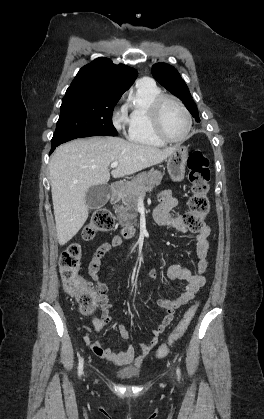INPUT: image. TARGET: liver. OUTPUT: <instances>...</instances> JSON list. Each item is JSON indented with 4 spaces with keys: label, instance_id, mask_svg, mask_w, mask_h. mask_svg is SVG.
Listing matches in <instances>:
<instances>
[{
    "label": "liver",
    "instance_id": "6515ba94",
    "mask_svg": "<svg viewBox=\"0 0 264 419\" xmlns=\"http://www.w3.org/2000/svg\"><path fill=\"white\" fill-rule=\"evenodd\" d=\"M175 147L159 149L128 142L119 137L76 139L59 146L49 163L51 193L58 242H69L82 228L89 214L85 196L90 187L110 179L134 174L161 163Z\"/></svg>",
    "mask_w": 264,
    "mask_h": 419
}]
</instances>
